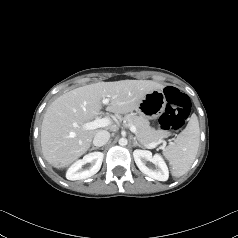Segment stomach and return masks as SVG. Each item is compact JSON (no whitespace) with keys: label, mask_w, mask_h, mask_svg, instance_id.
<instances>
[{"label":"stomach","mask_w":238,"mask_h":238,"mask_svg":"<svg viewBox=\"0 0 238 238\" xmlns=\"http://www.w3.org/2000/svg\"><path fill=\"white\" fill-rule=\"evenodd\" d=\"M166 105L163 90H153L145 95L137 112L147 119H156L164 112Z\"/></svg>","instance_id":"stomach-1"}]
</instances>
